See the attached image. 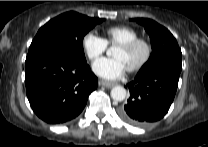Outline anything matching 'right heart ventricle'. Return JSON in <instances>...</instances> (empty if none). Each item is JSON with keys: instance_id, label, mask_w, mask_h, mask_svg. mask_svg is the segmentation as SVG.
<instances>
[{"instance_id": "right-heart-ventricle-1", "label": "right heart ventricle", "mask_w": 208, "mask_h": 147, "mask_svg": "<svg viewBox=\"0 0 208 147\" xmlns=\"http://www.w3.org/2000/svg\"><path fill=\"white\" fill-rule=\"evenodd\" d=\"M105 34V40L110 45H118L139 37L138 32L129 26H113L108 28Z\"/></svg>"}]
</instances>
